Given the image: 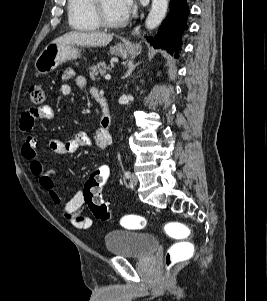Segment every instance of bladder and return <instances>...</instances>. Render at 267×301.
<instances>
[{
  "label": "bladder",
  "mask_w": 267,
  "mask_h": 301,
  "mask_svg": "<svg viewBox=\"0 0 267 301\" xmlns=\"http://www.w3.org/2000/svg\"><path fill=\"white\" fill-rule=\"evenodd\" d=\"M104 243L109 254L127 258H146L159 247L157 236L131 230L109 231Z\"/></svg>",
  "instance_id": "obj_1"
}]
</instances>
